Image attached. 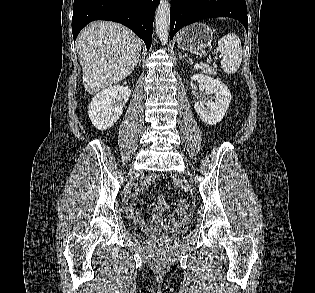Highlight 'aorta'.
<instances>
[{"label":"aorta","mask_w":315,"mask_h":293,"mask_svg":"<svg viewBox=\"0 0 315 293\" xmlns=\"http://www.w3.org/2000/svg\"><path fill=\"white\" fill-rule=\"evenodd\" d=\"M170 4L168 0H161L156 10L155 27L156 34L163 44H166L169 36Z\"/></svg>","instance_id":"1"}]
</instances>
